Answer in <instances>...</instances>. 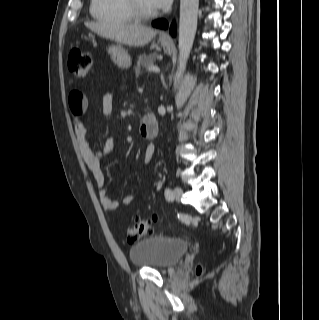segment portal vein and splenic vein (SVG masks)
<instances>
[{"label":"portal vein and splenic vein","instance_id":"portal-vein-and-splenic-vein-1","mask_svg":"<svg viewBox=\"0 0 319 320\" xmlns=\"http://www.w3.org/2000/svg\"><path fill=\"white\" fill-rule=\"evenodd\" d=\"M148 71L150 72H155V73H159L160 72V69L157 67V66H150L148 68Z\"/></svg>","mask_w":319,"mask_h":320}]
</instances>
